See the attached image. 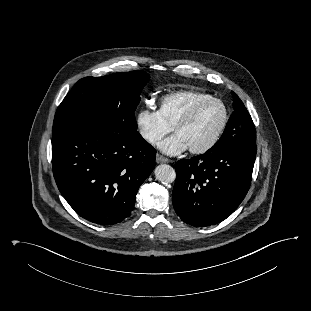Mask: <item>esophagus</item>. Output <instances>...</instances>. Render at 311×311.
Wrapping results in <instances>:
<instances>
[{
	"label": "esophagus",
	"mask_w": 311,
	"mask_h": 311,
	"mask_svg": "<svg viewBox=\"0 0 311 311\" xmlns=\"http://www.w3.org/2000/svg\"><path fill=\"white\" fill-rule=\"evenodd\" d=\"M156 162H157L158 164H161V163H169L170 160H169L168 158L162 156V155L157 154V155H156Z\"/></svg>",
	"instance_id": "1"
}]
</instances>
